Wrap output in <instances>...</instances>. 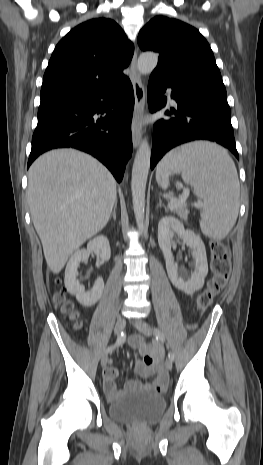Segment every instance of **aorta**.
Wrapping results in <instances>:
<instances>
[{
    "label": "aorta",
    "mask_w": 263,
    "mask_h": 465,
    "mask_svg": "<svg viewBox=\"0 0 263 465\" xmlns=\"http://www.w3.org/2000/svg\"><path fill=\"white\" fill-rule=\"evenodd\" d=\"M157 63L158 55L156 53L144 52L138 58V70L142 75L150 74L157 66ZM150 156V147L145 138L135 155L131 179L133 211L137 226L141 231H144L145 192L150 168Z\"/></svg>",
    "instance_id": "aorta-1"
}]
</instances>
